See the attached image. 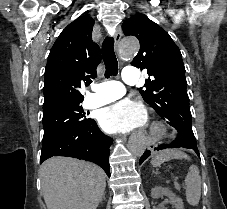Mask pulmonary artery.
Listing matches in <instances>:
<instances>
[{"mask_svg":"<svg viewBox=\"0 0 227 209\" xmlns=\"http://www.w3.org/2000/svg\"><path fill=\"white\" fill-rule=\"evenodd\" d=\"M137 75L140 70H135L134 66H125L122 81L125 84L137 83ZM95 87H90V91H86L85 105L94 108L110 103L125 94L124 84H112L111 82H95ZM98 92V93H96Z\"/></svg>","mask_w":227,"mask_h":209,"instance_id":"pulmonary-artery-1","label":"pulmonary artery"}]
</instances>
